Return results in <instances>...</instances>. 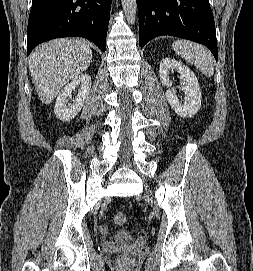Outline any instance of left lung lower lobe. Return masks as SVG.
Here are the masks:
<instances>
[{
  "label": "left lung lower lobe",
  "mask_w": 253,
  "mask_h": 271,
  "mask_svg": "<svg viewBox=\"0 0 253 271\" xmlns=\"http://www.w3.org/2000/svg\"><path fill=\"white\" fill-rule=\"evenodd\" d=\"M139 45L171 35L205 45L217 60L215 22L208 0H137Z\"/></svg>",
  "instance_id": "left-lung-lower-lobe-1"
}]
</instances>
